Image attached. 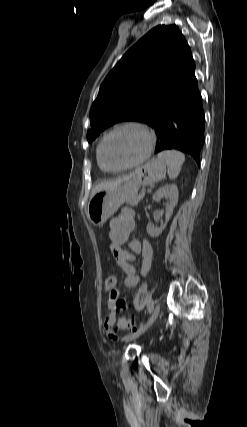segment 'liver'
I'll list each match as a JSON object with an SVG mask.
<instances>
[{
    "label": "liver",
    "mask_w": 247,
    "mask_h": 427,
    "mask_svg": "<svg viewBox=\"0 0 247 427\" xmlns=\"http://www.w3.org/2000/svg\"><path fill=\"white\" fill-rule=\"evenodd\" d=\"M134 173L123 176L121 178H118L117 180H112V181H107V182H102L98 185H96L91 193V196L94 195L97 191L102 190V189H109V188H113L118 186L119 184L125 182L126 180H129L131 177H133Z\"/></svg>",
    "instance_id": "liver-1"
}]
</instances>
